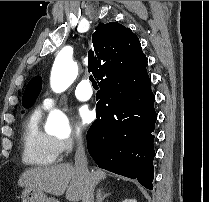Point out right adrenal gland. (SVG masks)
<instances>
[{
	"label": "right adrenal gland",
	"instance_id": "1",
	"mask_svg": "<svg viewBox=\"0 0 209 202\" xmlns=\"http://www.w3.org/2000/svg\"><path fill=\"white\" fill-rule=\"evenodd\" d=\"M103 188H99L96 191V200L97 202H102L106 197L110 195V193H103Z\"/></svg>",
	"mask_w": 209,
	"mask_h": 202
}]
</instances>
